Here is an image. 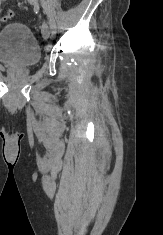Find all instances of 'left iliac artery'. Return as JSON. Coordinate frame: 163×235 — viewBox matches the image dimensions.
<instances>
[{
  "mask_svg": "<svg viewBox=\"0 0 163 235\" xmlns=\"http://www.w3.org/2000/svg\"><path fill=\"white\" fill-rule=\"evenodd\" d=\"M41 3H42V7L44 9V12L47 15L50 27L52 29H55L56 28V23H55V20L53 18V15H52V13L50 11V8H49L47 2L45 0H41Z\"/></svg>",
  "mask_w": 163,
  "mask_h": 235,
  "instance_id": "obj_1",
  "label": "left iliac artery"
}]
</instances>
